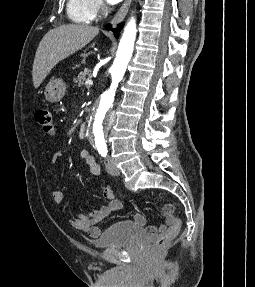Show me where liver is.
Segmentation results:
<instances>
[{"mask_svg":"<svg viewBox=\"0 0 255 287\" xmlns=\"http://www.w3.org/2000/svg\"><path fill=\"white\" fill-rule=\"evenodd\" d=\"M99 30L100 28H94L89 24H68L49 30L42 38L34 58L32 70L34 88H39L58 62L87 46L95 36H98Z\"/></svg>","mask_w":255,"mask_h":287,"instance_id":"1","label":"liver"}]
</instances>
